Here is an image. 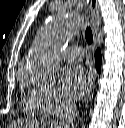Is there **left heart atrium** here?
I'll use <instances>...</instances> for the list:
<instances>
[{
    "label": "left heart atrium",
    "instance_id": "39dd6f15",
    "mask_svg": "<svg viewBox=\"0 0 125 128\" xmlns=\"http://www.w3.org/2000/svg\"><path fill=\"white\" fill-rule=\"evenodd\" d=\"M59 83L66 96L72 99H78L91 86L92 75L82 65H70L61 74Z\"/></svg>",
    "mask_w": 125,
    "mask_h": 128
}]
</instances>
